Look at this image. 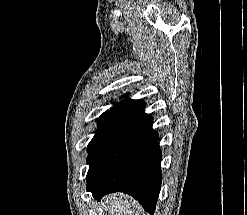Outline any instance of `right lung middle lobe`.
Masks as SVG:
<instances>
[{"label":"right lung middle lobe","instance_id":"1","mask_svg":"<svg viewBox=\"0 0 247 215\" xmlns=\"http://www.w3.org/2000/svg\"><path fill=\"white\" fill-rule=\"evenodd\" d=\"M107 112H108V110L106 111V112H104L102 115H101V117H100V119L98 120V123L102 120V118L107 114Z\"/></svg>","mask_w":247,"mask_h":215}]
</instances>
